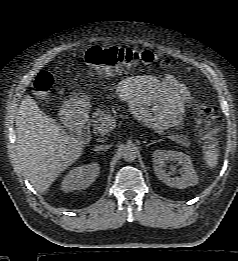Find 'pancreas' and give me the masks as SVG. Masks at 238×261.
<instances>
[{"instance_id": "obj_1", "label": "pancreas", "mask_w": 238, "mask_h": 261, "mask_svg": "<svg viewBox=\"0 0 238 261\" xmlns=\"http://www.w3.org/2000/svg\"><path fill=\"white\" fill-rule=\"evenodd\" d=\"M110 115V111L104 107H98L96 110L93 112L92 117H93V130L94 132H98L101 135H105L107 132L101 131V123L104 120L105 116ZM159 134H165L162 131H156ZM167 138L170 139L171 141L176 142L177 144H180L182 146L188 147L190 145L188 138L183 135H178V134H173L169 133L167 135Z\"/></svg>"}]
</instances>
